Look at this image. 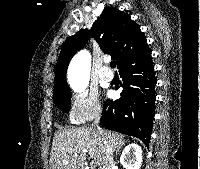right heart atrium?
Segmentation results:
<instances>
[{
	"label": "right heart atrium",
	"mask_w": 200,
	"mask_h": 169,
	"mask_svg": "<svg viewBox=\"0 0 200 169\" xmlns=\"http://www.w3.org/2000/svg\"><path fill=\"white\" fill-rule=\"evenodd\" d=\"M101 112L102 104L97 93L82 91L71 97L68 117L72 124H84L97 118Z\"/></svg>",
	"instance_id": "d8ad5b80"
}]
</instances>
